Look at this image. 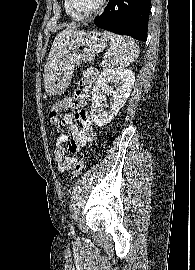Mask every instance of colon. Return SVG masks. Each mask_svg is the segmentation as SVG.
I'll return each instance as SVG.
<instances>
[{"mask_svg": "<svg viewBox=\"0 0 195 270\" xmlns=\"http://www.w3.org/2000/svg\"><path fill=\"white\" fill-rule=\"evenodd\" d=\"M64 110L65 104L63 103V100L56 101L49 106L48 115L50 118H55L58 117ZM83 167H84V160L80 159L73 169V176L75 178L80 175V173L83 170Z\"/></svg>", "mask_w": 195, "mask_h": 270, "instance_id": "1", "label": "colon"}]
</instances>
